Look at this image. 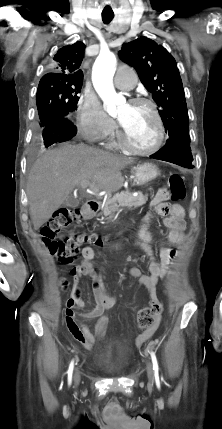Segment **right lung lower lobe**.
Instances as JSON below:
<instances>
[{
    "label": "right lung lower lobe",
    "instance_id": "right-lung-lower-lobe-1",
    "mask_svg": "<svg viewBox=\"0 0 222 429\" xmlns=\"http://www.w3.org/2000/svg\"><path fill=\"white\" fill-rule=\"evenodd\" d=\"M77 133L76 127L69 117H63L52 121L43 128V140L45 147L54 143L65 142L73 138Z\"/></svg>",
    "mask_w": 222,
    "mask_h": 429
}]
</instances>
